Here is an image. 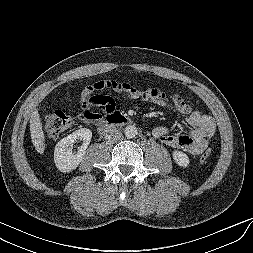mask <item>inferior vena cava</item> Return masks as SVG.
<instances>
[{"label":"inferior vena cava","instance_id":"602c4592","mask_svg":"<svg viewBox=\"0 0 253 253\" xmlns=\"http://www.w3.org/2000/svg\"><path fill=\"white\" fill-rule=\"evenodd\" d=\"M122 136V133L117 128H107L104 133L105 140L109 141H116L120 139Z\"/></svg>","mask_w":253,"mask_h":253}]
</instances>
